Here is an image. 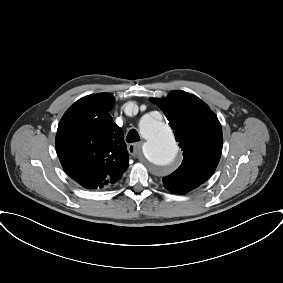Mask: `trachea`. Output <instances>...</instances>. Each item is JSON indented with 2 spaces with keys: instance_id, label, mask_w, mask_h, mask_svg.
Returning <instances> with one entry per match:
<instances>
[{
  "instance_id": "1",
  "label": "trachea",
  "mask_w": 283,
  "mask_h": 283,
  "mask_svg": "<svg viewBox=\"0 0 283 283\" xmlns=\"http://www.w3.org/2000/svg\"><path fill=\"white\" fill-rule=\"evenodd\" d=\"M126 141L129 143L140 141L138 132L135 129H131L127 134Z\"/></svg>"
}]
</instances>
